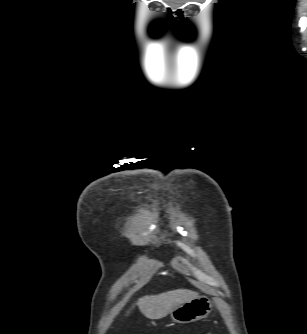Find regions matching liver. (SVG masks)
<instances>
[{
    "mask_svg": "<svg viewBox=\"0 0 307 334\" xmlns=\"http://www.w3.org/2000/svg\"><path fill=\"white\" fill-rule=\"evenodd\" d=\"M198 297V293L177 289L158 295L144 296L138 299L136 305L141 313L149 319H161L168 315L177 306Z\"/></svg>",
    "mask_w": 307,
    "mask_h": 334,
    "instance_id": "1",
    "label": "liver"
}]
</instances>
